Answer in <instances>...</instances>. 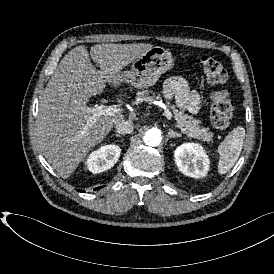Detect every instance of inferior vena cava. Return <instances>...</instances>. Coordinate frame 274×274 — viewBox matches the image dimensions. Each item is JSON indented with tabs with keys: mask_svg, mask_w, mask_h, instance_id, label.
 Here are the masks:
<instances>
[{
	"mask_svg": "<svg viewBox=\"0 0 274 274\" xmlns=\"http://www.w3.org/2000/svg\"><path fill=\"white\" fill-rule=\"evenodd\" d=\"M115 129L119 134H129L134 129V124L130 120H122L115 125Z\"/></svg>",
	"mask_w": 274,
	"mask_h": 274,
	"instance_id": "602c4592",
	"label": "inferior vena cava"
}]
</instances>
